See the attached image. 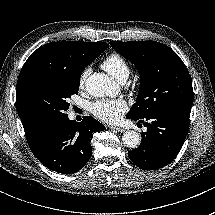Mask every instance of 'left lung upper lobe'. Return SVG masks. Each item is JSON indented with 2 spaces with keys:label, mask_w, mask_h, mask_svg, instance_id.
Listing matches in <instances>:
<instances>
[{
  "label": "left lung upper lobe",
  "mask_w": 215,
  "mask_h": 215,
  "mask_svg": "<svg viewBox=\"0 0 215 215\" xmlns=\"http://www.w3.org/2000/svg\"><path fill=\"white\" fill-rule=\"evenodd\" d=\"M110 45L135 64L141 78L136 103L127 118L145 119L160 110L192 106L190 74L171 48L162 43L144 41H111Z\"/></svg>",
  "instance_id": "1"
}]
</instances>
